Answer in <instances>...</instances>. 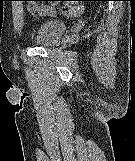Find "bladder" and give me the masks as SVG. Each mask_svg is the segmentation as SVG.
I'll return each mask as SVG.
<instances>
[{
    "mask_svg": "<svg viewBox=\"0 0 135 161\" xmlns=\"http://www.w3.org/2000/svg\"><path fill=\"white\" fill-rule=\"evenodd\" d=\"M65 32V24L57 19L42 21L31 36V41L37 45H52Z\"/></svg>",
    "mask_w": 135,
    "mask_h": 161,
    "instance_id": "obj_1",
    "label": "bladder"
}]
</instances>
